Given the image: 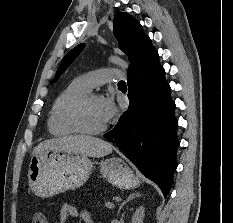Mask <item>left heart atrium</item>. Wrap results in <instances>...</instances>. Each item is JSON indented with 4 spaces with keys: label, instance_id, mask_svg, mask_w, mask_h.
Segmentation results:
<instances>
[{
    "label": "left heart atrium",
    "instance_id": "left-heart-atrium-1",
    "mask_svg": "<svg viewBox=\"0 0 233 223\" xmlns=\"http://www.w3.org/2000/svg\"><path fill=\"white\" fill-rule=\"evenodd\" d=\"M98 111L100 119L104 124L111 122L117 114L114 98L112 96L100 97Z\"/></svg>",
    "mask_w": 233,
    "mask_h": 223
}]
</instances>
